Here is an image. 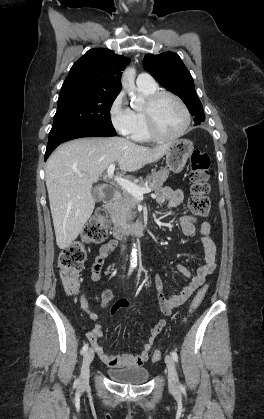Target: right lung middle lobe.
<instances>
[{
	"instance_id": "obj_1",
	"label": "right lung middle lobe",
	"mask_w": 264,
	"mask_h": 419,
	"mask_svg": "<svg viewBox=\"0 0 264 419\" xmlns=\"http://www.w3.org/2000/svg\"><path fill=\"white\" fill-rule=\"evenodd\" d=\"M117 95L90 90L80 85L62 87L48 143L79 129L115 132L110 109Z\"/></svg>"
}]
</instances>
